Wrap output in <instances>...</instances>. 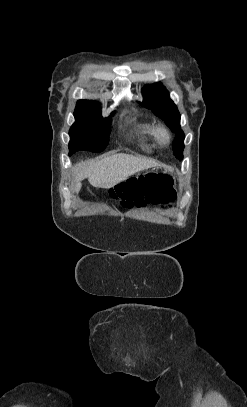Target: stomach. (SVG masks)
Wrapping results in <instances>:
<instances>
[{"label":"stomach","instance_id":"stomach-1","mask_svg":"<svg viewBox=\"0 0 247 407\" xmlns=\"http://www.w3.org/2000/svg\"><path fill=\"white\" fill-rule=\"evenodd\" d=\"M143 171H144V173H146V174H147V173H149V171H150V170H149V168H147V167H146V168H144V170H143Z\"/></svg>","mask_w":247,"mask_h":407}]
</instances>
